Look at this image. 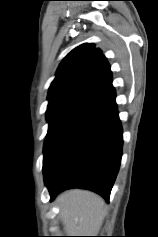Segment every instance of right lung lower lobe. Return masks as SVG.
<instances>
[{"label":"right lung lower lobe","instance_id":"98d812e1","mask_svg":"<svg viewBox=\"0 0 158 237\" xmlns=\"http://www.w3.org/2000/svg\"><path fill=\"white\" fill-rule=\"evenodd\" d=\"M122 144L115 91L111 86L75 109L47 136L43 172L51 201L65 189L83 188L109 202Z\"/></svg>","mask_w":158,"mask_h":237}]
</instances>
